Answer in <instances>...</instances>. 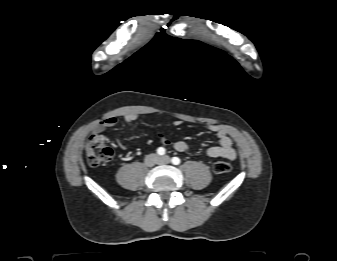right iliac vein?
<instances>
[{
  "label": "right iliac vein",
  "instance_id": "63e3f726",
  "mask_svg": "<svg viewBox=\"0 0 337 261\" xmlns=\"http://www.w3.org/2000/svg\"><path fill=\"white\" fill-rule=\"evenodd\" d=\"M159 162V157L156 154H150L145 158V163L148 166H153Z\"/></svg>",
  "mask_w": 337,
  "mask_h": 261
}]
</instances>
